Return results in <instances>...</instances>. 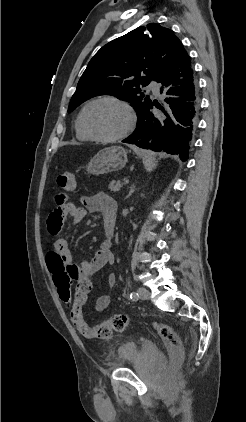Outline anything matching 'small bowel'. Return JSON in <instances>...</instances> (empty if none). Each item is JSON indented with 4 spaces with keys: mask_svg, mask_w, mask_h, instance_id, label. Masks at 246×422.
Returning <instances> with one entry per match:
<instances>
[{
    "mask_svg": "<svg viewBox=\"0 0 246 422\" xmlns=\"http://www.w3.org/2000/svg\"><path fill=\"white\" fill-rule=\"evenodd\" d=\"M82 203L83 206H79L71 202H64L63 197H58L57 206L51 212L47 221L50 234L57 235L67 217H70L73 223L77 224L83 220L87 211L99 212L102 215L105 239L91 259L85 260L80 264H74L69 239L67 237H61L54 242L52 250H55L64 258L66 264L72 270V278L76 280L92 277L104 266L114 262L111 239L108 237V232L109 230H114L116 202L109 195L98 193L82 198ZM107 284L110 288L116 285L115 274L108 276ZM110 302L111 297L109 295H102L97 299L95 309L99 312L103 311L109 306Z\"/></svg>",
    "mask_w": 246,
    "mask_h": 422,
    "instance_id": "small-bowel-1",
    "label": "small bowel"
}]
</instances>
